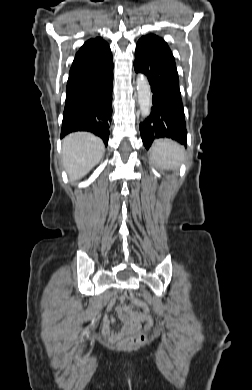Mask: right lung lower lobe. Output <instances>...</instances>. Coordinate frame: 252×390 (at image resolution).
I'll list each match as a JSON object with an SVG mask.
<instances>
[{"label":"right lung lower lobe","mask_w":252,"mask_h":390,"mask_svg":"<svg viewBox=\"0 0 252 390\" xmlns=\"http://www.w3.org/2000/svg\"><path fill=\"white\" fill-rule=\"evenodd\" d=\"M113 65L104 74L82 79L66 87L61 137L89 131L107 146L112 115Z\"/></svg>","instance_id":"obj_1"}]
</instances>
